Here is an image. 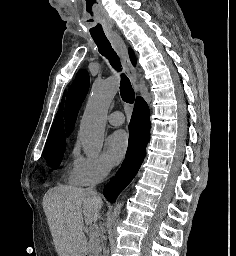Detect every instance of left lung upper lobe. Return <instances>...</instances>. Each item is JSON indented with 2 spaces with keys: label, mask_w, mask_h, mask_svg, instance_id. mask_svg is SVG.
Wrapping results in <instances>:
<instances>
[{
  "label": "left lung upper lobe",
  "mask_w": 236,
  "mask_h": 256,
  "mask_svg": "<svg viewBox=\"0 0 236 256\" xmlns=\"http://www.w3.org/2000/svg\"><path fill=\"white\" fill-rule=\"evenodd\" d=\"M89 89V75L86 70L78 73L72 85L69 88L66 107L65 120L66 132L69 136L74 128L78 111Z\"/></svg>",
  "instance_id": "5c2ea615"
}]
</instances>
